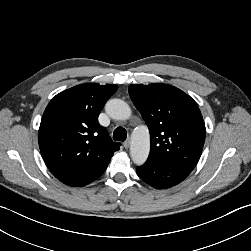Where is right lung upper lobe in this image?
I'll use <instances>...</instances> for the list:
<instances>
[{
	"label": "right lung upper lobe",
	"instance_id": "right-lung-upper-lobe-1",
	"mask_svg": "<svg viewBox=\"0 0 251 251\" xmlns=\"http://www.w3.org/2000/svg\"><path fill=\"white\" fill-rule=\"evenodd\" d=\"M113 84L88 83L57 94L47 105L38 138L42 157L61 182L84 186L106 170L120 143L113 142L98 116L117 91Z\"/></svg>",
	"mask_w": 251,
	"mask_h": 251
}]
</instances>
